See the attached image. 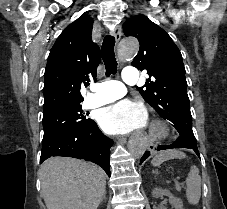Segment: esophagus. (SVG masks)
I'll return each instance as SVG.
<instances>
[{"label":"esophagus","instance_id":"obj_1","mask_svg":"<svg viewBox=\"0 0 227 209\" xmlns=\"http://www.w3.org/2000/svg\"><path fill=\"white\" fill-rule=\"evenodd\" d=\"M114 36H115L116 42L118 43L120 38H121V27L119 25L114 30ZM147 148L151 149L149 152L152 154L154 152L152 149H155L156 145L155 144H148Z\"/></svg>","mask_w":227,"mask_h":209}]
</instances>
